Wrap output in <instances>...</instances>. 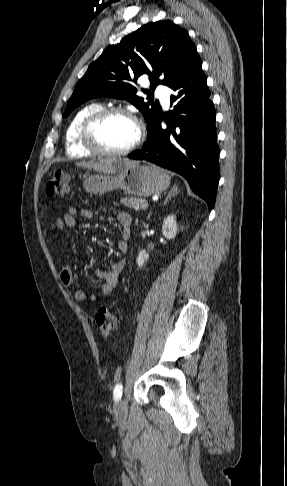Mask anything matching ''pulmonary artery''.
<instances>
[{
	"label": "pulmonary artery",
	"mask_w": 287,
	"mask_h": 486,
	"mask_svg": "<svg viewBox=\"0 0 287 486\" xmlns=\"http://www.w3.org/2000/svg\"><path fill=\"white\" fill-rule=\"evenodd\" d=\"M156 93L161 98L163 104L168 106L169 104V91L168 88L163 85H158L156 88Z\"/></svg>",
	"instance_id": "1"
}]
</instances>
